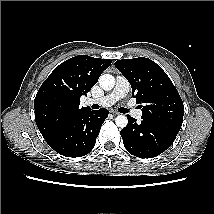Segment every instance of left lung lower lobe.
<instances>
[{
	"label": "left lung lower lobe",
	"instance_id": "left-lung-lower-lobe-1",
	"mask_svg": "<svg viewBox=\"0 0 214 214\" xmlns=\"http://www.w3.org/2000/svg\"><path fill=\"white\" fill-rule=\"evenodd\" d=\"M181 126L149 119L137 123L128 115V125L120 131L126 150L139 158L156 157L174 142Z\"/></svg>",
	"mask_w": 214,
	"mask_h": 214
}]
</instances>
